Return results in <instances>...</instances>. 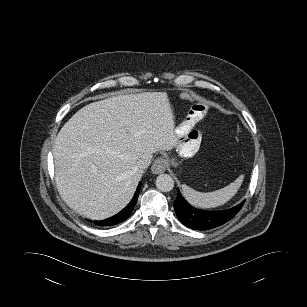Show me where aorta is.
Segmentation results:
<instances>
[{"label":"aorta","mask_w":307,"mask_h":307,"mask_svg":"<svg viewBox=\"0 0 307 307\" xmlns=\"http://www.w3.org/2000/svg\"><path fill=\"white\" fill-rule=\"evenodd\" d=\"M156 187L162 192H169L174 187V180L168 174H160L156 178Z\"/></svg>","instance_id":"obj_1"}]
</instances>
